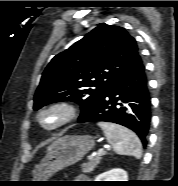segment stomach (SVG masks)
<instances>
[{
  "label": "stomach",
  "mask_w": 178,
  "mask_h": 186,
  "mask_svg": "<svg viewBox=\"0 0 178 186\" xmlns=\"http://www.w3.org/2000/svg\"><path fill=\"white\" fill-rule=\"evenodd\" d=\"M94 138L88 135L64 136L47 151L34 172V181H46L65 167L80 161L94 147Z\"/></svg>",
  "instance_id": "0dacf381"
}]
</instances>
